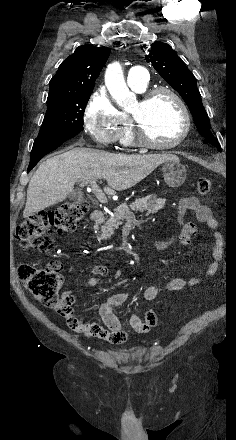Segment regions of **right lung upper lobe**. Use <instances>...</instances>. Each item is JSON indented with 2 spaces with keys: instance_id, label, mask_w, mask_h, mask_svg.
I'll list each match as a JSON object with an SVG mask.
<instances>
[{
  "instance_id": "1",
  "label": "right lung upper lobe",
  "mask_w": 236,
  "mask_h": 440,
  "mask_svg": "<svg viewBox=\"0 0 236 440\" xmlns=\"http://www.w3.org/2000/svg\"><path fill=\"white\" fill-rule=\"evenodd\" d=\"M109 55L107 47L79 46L50 80L47 103L91 93Z\"/></svg>"
}]
</instances>
